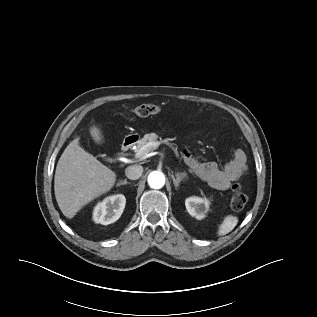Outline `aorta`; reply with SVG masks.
<instances>
[{
  "instance_id": "obj_1",
  "label": "aorta",
  "mask_w": 317,
  "mask_h": 317,
  "mask_svg": "<svg viewBox=\"0 0 317 317\" xmlns=\"http://www.w3.org/2000/svg\"><path fill=\"white\" fill-rule=\"evenodd\" d=\"M147 180L151 188L160 189L165 184V175L161 171H152Z\"/></svg>"
}]
</instances>
